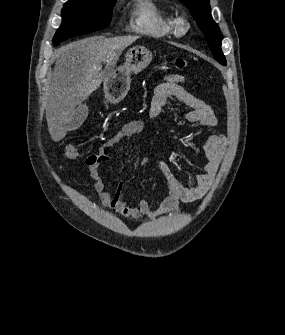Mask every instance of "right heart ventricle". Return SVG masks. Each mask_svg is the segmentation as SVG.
<instances>
[{"mask_svg": "<svg viewBox=\"0 0 285 335\" xmlns=\"http://www.w3.org/2000/svg\"><path fill=\"white\" fill-rule=\"evenodd\" d=\"M135 28L139 34L156 39L165 37L170 31L167 17L157 1L139 4Z\"/></svg>", "mask_w": 285, "mask_h": 335, "instance_id": "right-heart-ventricle-1", "label": "right heart ventricle"}]
</instances>
